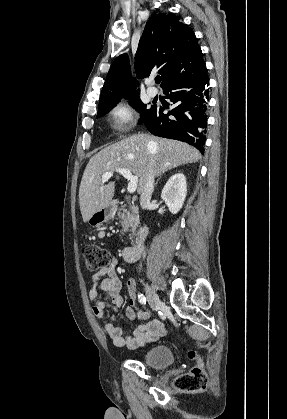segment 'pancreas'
I'll list each match as a JSON object with an SVG mask.
<instances>
[{
  "label": "pancreas",
  "mask_w": 287,
  "mask_h": 419,
  "mask_svg": "<svg viewBox=\"0 0 287 419\" xmlns=\"http://www.w3.org/2000/svg\"><path fill=\"white\" fill-rule=\"evenodd\" d=\"M118 217L121 219L120 223L122 226V234L131 231H135L138 225V209L134 205H130L129 209L125 206H121L117 212Z\"/></svg>",
  "instance_id": "pancreas-1"
}]
</instances>
